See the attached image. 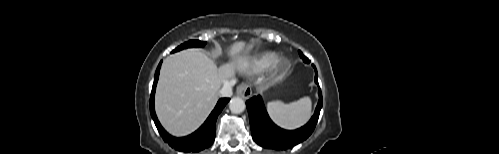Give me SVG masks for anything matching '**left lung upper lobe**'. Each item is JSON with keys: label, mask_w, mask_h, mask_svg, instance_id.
<instances>
[{"label": "left lung upper lobe", "mask_w": 499, "mask_h": 154, "mask_svg": "<svg viewBox=\"0 0 499 154\" xmlns=\"http://www.w3.org/2000/svg\"><path fill=\"white\" fill-rule=\"evenodd\" d=\"M299 55L302 56V59L304 62H306V63L310 62V60L306 56H304L301 51H299Z\"/></svg>", "instance_id": "obj_1"}]
</instances>
